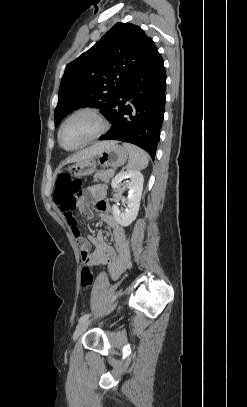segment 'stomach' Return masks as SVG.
Returning <instances> with one entry per match:
<instances>
[{
  "label": "stomach",
  "instance_id": "stomach-1",
  "mask_svg": "<svg viewBox=\"0 0 247 407\" xmlns=\"http://www.w3.org/2000/svg\"><path fill=\"white\" fill-rule=\"evenodd\" d=\"M128 159V151L121 145L113 142L108 145L101 153L75 162L68 167V172L75 177H82L92 174L97 164L102 167H119Z\"/></svg>",
  "mask_w": 247,
  "mask_h": 407
}]
</instances>
